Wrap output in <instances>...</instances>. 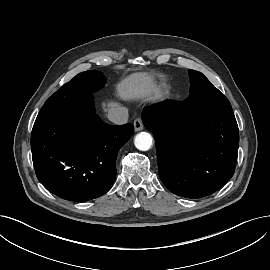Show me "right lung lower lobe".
<instances>
[{
    "mask_svg": "<svg viewBox=\"0 0 270 270\" xmlns=\"http://www.w3.org/2000/svg\"><path fill=\"white\" fill-rule=\"evenodd\" d=\"M132 124L113 126L95 113L93 96L42 107L31 134L39 182L65 200L98 198L113 185L119 149Z\"/></svg>",
    "mask_w": 270,
    "mask_h": 270,
    "instance_id": "right-lung-lower-lobe-1",
    "label": "right lung lower lobe"
}]
</instances>
